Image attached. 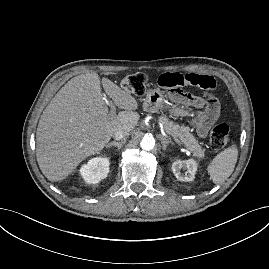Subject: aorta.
<instances>
[{
    "label": "aorta",
    "mask_w": 269,
    "mask_h": 269,
    "mask_svg": "<svg viewBox=\"0 0 269 269\" xmlns=\"http://www.w3.org/2000/svg\"><path fill=\"white\" fill-rule=\"evenodd\" d=\"M143 150L150 151L155 147V139L152 135H145L140 143Z\"/></svg>",
    "instance_id": "aorta-1"
}]
</instances>
